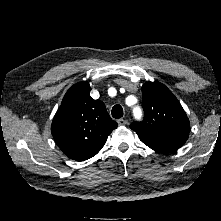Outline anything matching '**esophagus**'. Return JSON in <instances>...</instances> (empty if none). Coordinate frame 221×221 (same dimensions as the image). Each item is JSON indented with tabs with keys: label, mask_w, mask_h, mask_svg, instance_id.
I'll return each mask as SVG.
<instances>
[{
	"label": "esophagus",
	"mask_w": 221,
	"mask_h": 221,
	"mask_svg": "<svg viewBox=\"0 0 221 221\" xmlns=\"http://www.w3.org/2000/svg\"><path fill=\"white\" fill-rule=\"evenodd\" d=\"M117 122H118L119 125H126V124H127V120H126V119H123V118L118 119Z\"/></svg>",
	"instance_id": "34e87169"
}]
</instances>
